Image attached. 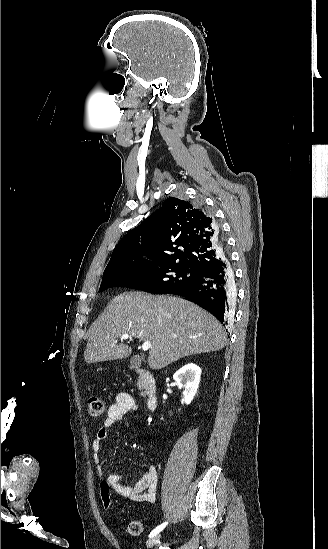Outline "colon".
<instances>
[{"label": "colon", "mask_w": 328, "mask_h": 549, "mask_svg": "<svg viewBox=\"0 0 328 549\" xmlns=\"http://www.w3.org/2000/svg\"><path fill=\"white\" fill-rule=\"evenodd\" d=\"M89 413L92 416H100L104 414L106 410V404L104 400L96 395H92L88 399ZM100 499L104 509L112 508L111 493L108 484L104 481L100 485ZM128 531L133 536H139L143 532V524L139 520H133L128 526Z\"/></svg>", "instance_id": "5ec220e1"}]
</instances>
